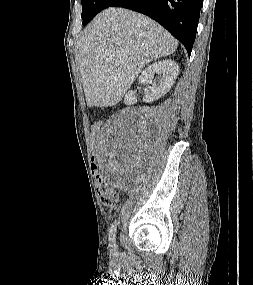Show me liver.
Masks as SVG:
<instances>
[{
  "label": "liver",
  "mask_w": 253,
  "mask_h": 285,
  "mask_svg": "<svg viewBox=\"0 0 253 285\" xmlns=\"http://www.w3.org/2000/svg\"><path fill=\"white\" fill-rule=\"evenodd\" d=\"M177 46L154 20L128 9H105L75 49L87 106L116 105L146 64L172 54Z\"/></svg>",
  "instance_id": "6515ba94"
}]
</instances>
